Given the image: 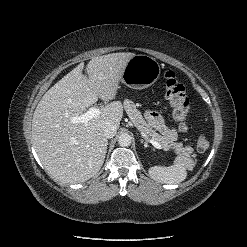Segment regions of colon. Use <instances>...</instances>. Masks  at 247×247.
I'll return each instance as SVG.
<instances>
[{"mask_svg":"<svg viewBox=\"0 0 247 247\" xmlns=\"http://www.w3.org/2000/svg\"><path fill=\"white\" fill-rule=\"evenodd\" d=\"M165 97L172 108V114L179 124V129L186 131L190 100L186 94L185 85L173 71H168L165 74ZM195 146L199 152H204L208 149L209 140L205 133L197 134Z\"/></svg>","mask_w":247,"mask_h":247,"instance_id":"1","label":"colon"}]
</instances>
